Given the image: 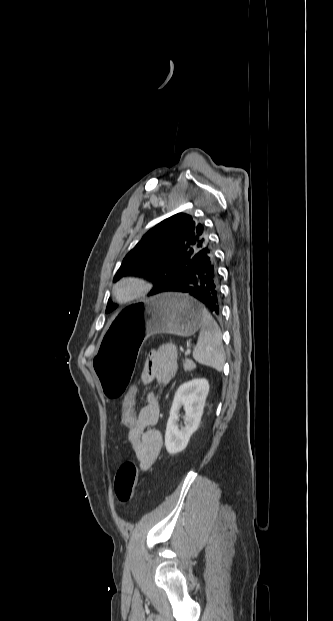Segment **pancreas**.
<instances>
[{"instance_id":"cf45deb5","label":"pancreas","mask_w":333,"mask_h":621,"mask_svg":"<svg viewBox=\"0 0 333 621\" xmlns=\"http://www.w3.org/2000/svg\"><path fill=\"white\" fill-rule=\"evenodd\" d=\"M183 363H184V370L185 371H192L196 367L195 363L191 359H188V358H185L183 360Z\"/></svg>"}]
</instances>
